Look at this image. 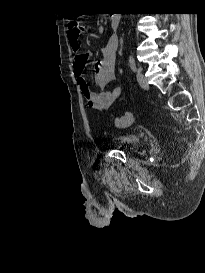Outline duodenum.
<instances>
[{
    "label": "duodenum",
    "instance_id": "duodenum-1",
    "mask_svg": "<svg viewBox=\"0 0 205 273\" xmlns=\"http://www.w3.org/2000/svg\"><path fill=\"white\" fill-rule=\"evenodd\" d=\"M111 25L113 27L118 26L119 24V15L117 13L113 14L110 18Z\"/></svg>",
    "mask_w": 205,
    "mask_h": 273
}]
</instances>
